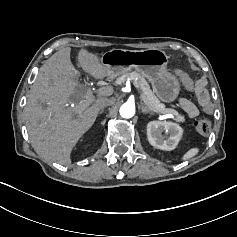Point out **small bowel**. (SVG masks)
Listing matches in <instances>:
<instances>
[{"label": "small bowel", "instance_id": "small-bowel-1", "mask_svg": "<svg viewBox=\"0 0 237 237\" xmlns=\"http://www.w3.org/2000/svg\"><path fill=\"white\" fill-rule=\"evenodd\" d=\"M206 85H207V83L203 79L198 80L195 84V94H196L198 102L202 108H204L202 105V97L205 96L207 99H209ZM179 106L191 118L197 117L199 115L198 107L191 100H189L187 98H180L179 99Z\"/></svg>", "mask_w": 237, "mask_h": 237}]
</instances>
